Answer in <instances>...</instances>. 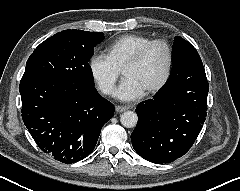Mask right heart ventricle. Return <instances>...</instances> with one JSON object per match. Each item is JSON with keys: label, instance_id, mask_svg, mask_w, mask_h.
I'll list each match as a JSON object with an SVG mask.
<instances>
[{"label": "right heart ventricle", "instance_id": "right-heart-ventricle-1", "mask_svg": "<svg viewBox=\"0 0 240 191\" xmlns=\"http://www.w3.org/2000/svg\"><path fill=\"white\" fill-rule=\"evenodd\" d=\"M150 36L141 34L123 35L107 47V53L112 62L122 69L125 63L147 42L151 41Z\"/></svg>", "mask_w": 240, "mask_h": 191}]
</instances>
